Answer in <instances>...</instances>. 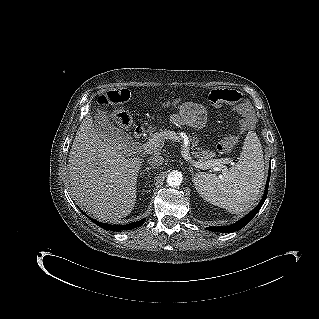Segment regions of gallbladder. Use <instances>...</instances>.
Here are the masks:
<instances>
[{
  "mask_svg": "<svg viewBox=\"0 0 319 319\" xmlns=\"http://www.w3.org/2000/svg\"><path fill=\"white\" fill-rule=\"evenodd\" d=\"M94 123L99 133L109 139L116 140L119 138H127L126 134L122 130L114 126L104 110L99 109L95 113Z\"/></svg>",
  "mask_w": 319,
  "mask_h": 319,
  "instance_id": "1",
  "label": "gallbladder"
}]
</instances>
